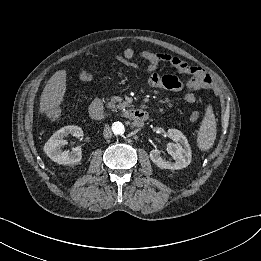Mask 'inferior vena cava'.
I'll list each match as a JSON object with an SVG mask.
<instances>
[{
  "label": "inferior vena cava",
  "instance_id": "inferior-vena-cava-1",
  "mask_svg": "<svg viewBox=\"0 0 261 261\" xmlns=\"http://www.w3.org/2000/svg\"><path fill=\"white\" fill-rule=\"evenodd\" d=\"M103 137L104 138H111L112 137V131L111 128L109 127V125H106L103 131Z\"/></svg>",
  "mask_w": 261,
  "mask_h": 261
}]
</instances>
